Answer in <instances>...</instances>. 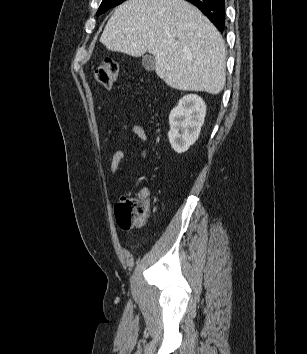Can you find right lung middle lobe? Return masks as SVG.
<instances>
[{"mask_svg":"<svg viewBox=\"0 0 307 354\" xmlns=\"http://www.w3.org/2000/svg\"><path fill=\"white\" fill-rule=\"evenodd\" d=\"M124 1L126 0H103L96 15L98 16L102 13H105L107 10L121 4Z\"/></svg>","mask_w":307,"mask_h":354,"instance_id":"obj_1","label":"right lung middle lobe"}]
</instances>
